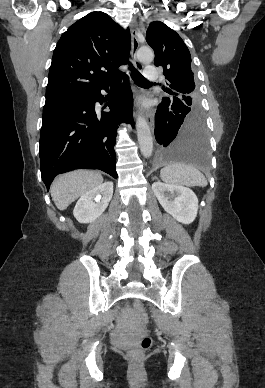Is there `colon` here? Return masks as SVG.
<instances>
[{"mask_svg": "<svg viewBox=\"0 0 265 388\" xmlns=\"http://www.w3.org/2000/svg\"><path fill=\"white\" fill-rule=\"evenodd\" d=\"M134 311L140 323L147 324L148 315L146 313L145 305L142 300L138 299L134 302ZM151 343H152V340L150 337H143L139 341L138 346L135 348H132L130 352L133 356H137L140 354L141 351L149 349V347L151 346Z\"/></svg>", "mask_w": 265, "mask_h": 388, "instance_id": "obj_1", "label": "colon"}]
</instances>
